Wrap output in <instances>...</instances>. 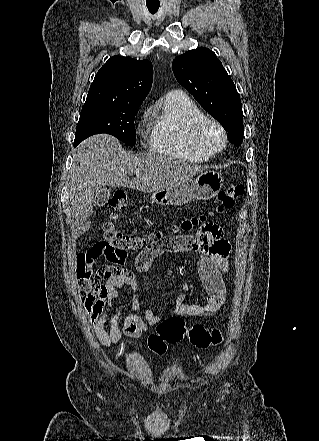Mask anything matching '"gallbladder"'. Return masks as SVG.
Here are the masks:
<instances>
[{"mask_svg":"<svg viewBox=\"0 0 319 441\" xmlns=\"http://www.w3.org/2000/svg\"><path fill=\"white\" fill-rule=\"evenodd\" d=\"M110 189L106 187H102L96 194V198L94 200V204L97 206H103L107 203L110 197Z\"/></svg>","mask_w":319,"mask_h":441,"instance_id":"1","label":"gallbladder"}]
</instances>
